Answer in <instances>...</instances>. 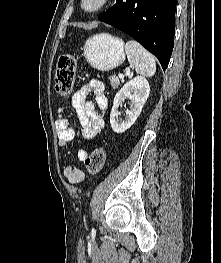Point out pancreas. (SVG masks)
<instances>
[{"label": "pancreas", "instance_id": "cf45deb5", "mask_svg": "<svg viewBox=\"0 0 221 263\" xmlns=\"http://www.w3.org/2000/svg\"><path fill=\"white\" fill-rule=\"evenodd\" d=\"M109 80H110V84H111V86L114 88V89H116V88H118V86H119V84H120V80H119V78L117 77V76H111V77H109Z\"/></svg>", "mask_w": 221, "mask_h": 263}]
</instances>
